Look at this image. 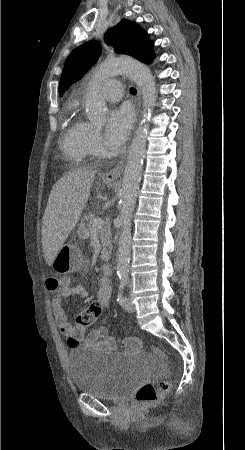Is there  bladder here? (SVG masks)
I'll list each match as a JSON object with an SVG mask.
<instances>
[{
	"instance_id": "obj_1",
	"label": "bladder",
	"mask_w": 245,
	"mask_h": 450,
	"mask_svg": "<svg viewBox=\"0 0 245 450\" xmlns=\"http://www.w3.org/2000/svg\"><path fill=\"white\" fill-rule=\"evenodd\" d=\"M68 364L77 392L106 400L121 399L146 376L139 355L120 352L82 348L69 352Z\"/></svg>"
}]
</instances>
